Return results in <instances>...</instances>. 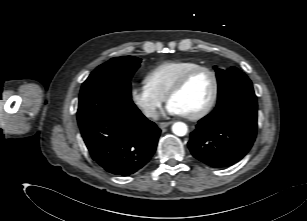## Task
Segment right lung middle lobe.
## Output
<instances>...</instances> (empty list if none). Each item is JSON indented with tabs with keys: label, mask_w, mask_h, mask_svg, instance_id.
Listing matches in <instances>:
<instances>
[{
	"label": "right lung middle lobe",
	"mask_w": 307,
	"mask_h": 221,
	"mask_svg": "<svg viewBox=\"0 0 307 221\" xmlns=\"http://www.w3.org/2000/svg\"><path fill=\"white\" fill-rule=\"evenodd\" d=\"M141 59L133 56L112 58L98 66L82 84L77 119L82 126L93 116L132 108L130 80Z\"/></svg>",
	"instance_id": "dd1d6c3e"
}]
</instances>
